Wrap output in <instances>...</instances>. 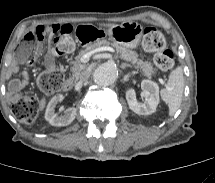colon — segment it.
I'll return each instance as SVG.
<instances>
[{
	"label": "colon",
	"instance_id": "obj_1",
	"mask_svg": "<svg viewBox=\"0 0 215 183\" xmlns=\"http://www.w3.org/2000/svg\"><path fill=\"white\" fill-rule=\"evenodd\" d=\"M71 32V28H66L56 33L53 41L54 53L65 55L72 51L74 42ZM36 43L37 41H34L32 45H29L26 52L32 49ZM142 44L145 51L154 54V62L159 69L168 71L173 68V53L171 50L166 49L165 38L158 29L146 27L143 33ZM63 82L64 74L59 69L45 71L38 78V85L45 93L58 91L62 87ZM10 107L16 118L26 125L33 124L39 113L37 98L26 93L14 95L10 101Z\"/></svg>",
	"mask_w": 215,
	"mask_h": 183
}]
</instances>
